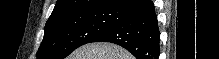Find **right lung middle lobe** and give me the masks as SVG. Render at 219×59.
Instances as JSON below:
<instances>
[{"mask_svg": "<svg viewBox=\"0 0 219 59\" xmlns=\"http://www.w3.org/2000/svg\"><path fill=\"white\" fill-rule=\"evenodd\" d=\"M120 20L112 9L65 15L47 21L37 59H64L78 47L91 43L95 37Z\"/></svg>", "mask_w": 219, "mask_h": 59, "instance_id": "obj_1", "label": "right lung middle lobe"}]
</instances>
